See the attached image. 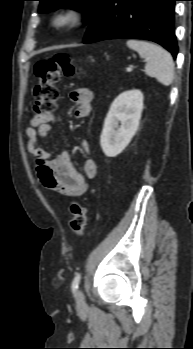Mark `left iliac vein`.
<instances>
[{
    "label": "left iliac vein",
    "instance_id": "left-iliac-vein-1",
    "mask_svg": "<svg viewBox=\"0 0 193 349\" xmlns=\"http://www.w3.org/2000/svg\"><path fill=\"white\" fill-rule=\"evenodd\" d=\"M76 305L78 308H83L86 305L84 294L81 290L77 291L76 294Z\"/></svg>",
    "mask_w": 193,
    "mask_h": 349
}]
</instances>
